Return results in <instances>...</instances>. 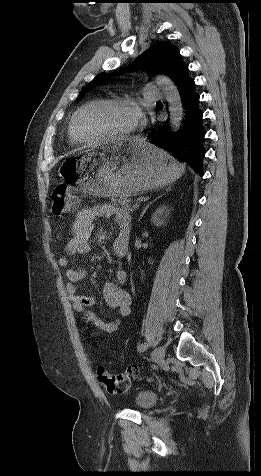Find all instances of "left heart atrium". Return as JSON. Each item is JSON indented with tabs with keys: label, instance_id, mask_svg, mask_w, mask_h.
Wrapping results in <instances>:
<instances>
[{
	"label": "left heart atrium",
	"instance_id": "left-heart-atrium-1",
	"mask_svg": "<svg viewBox=\"0 0 261 476\" xmlns=\"http://www.w3.org/2000/svg\"><path fill=\"white\" fill-rule=\"evenodd\" d=\"M136 115V114H135ZM138 118H137V115H136V122H137ZM140 120H141V114H140Z\"/></svg>",
	"mask_w": 261,
	"mask_h": 476
}]
</instances>
